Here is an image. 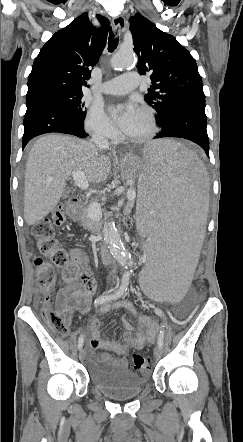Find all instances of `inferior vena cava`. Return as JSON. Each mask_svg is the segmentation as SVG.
<instances>
[{"label":"inferior vena cava","instance_id":"obj_1","mask_svg":"<svg viewBox=\"0 0 243 442\" xmlns=\"http://www.w3.org/2000/svg\"><path fill=\"white\" fill-rule=\"evenodd\" d=\"M91 140L99 151L109 149L108 139L100 131H94ZM112 272H115V269Z\"/></svg>","mask_w":243,"mask_h":442}]
</instances>
